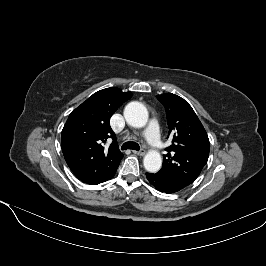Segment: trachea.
Returning a JSON list of instances; mask_svg holds the SVG:
<instances>
[{
    "mask_svg": "<svg viewBox=\"0 0 266 266\" xmlns=\"http://www.w3.org/2000/svg\"><path fill=\"white\" fill-rule=\"evenodd\" d=\"M121 149H122V150L132 149V150H137V151H139L140 146H139V144L136 143V142L128 141V142H125V143L122 145Z\"/></svg>",
    "mask_w": 266,
    "mask_h": 266,
    "instance_id": "obj_1",
    "label": "trachea"
}]
</instances>
